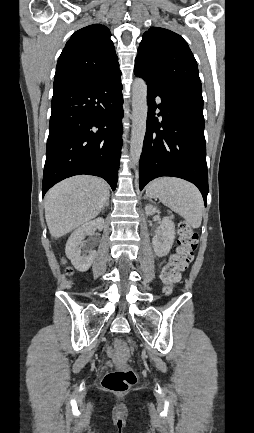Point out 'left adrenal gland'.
Returning <instances> with one entry per match:
<instances>
[{
    "label": "left adrenal gland",
    "instance_id": "left-adrenal-gland-1",
    "mask_svg": "<svg viewBox=\"0 0 254 433\" xmlns=\"http://www.w3.org/2000/svg\"><path fill=\"white\" fill-rule=\"evenodd\" d=\"M144 199H148V196H147V195H145V196H144Z\"/></svg>",
    "mask_w": 254,
    "mask_h": 433
}]
</instances>
